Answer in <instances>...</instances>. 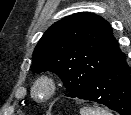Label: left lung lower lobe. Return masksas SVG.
<instances>
[{"mask_svg": "<svg viewBox=\"0 0 131 115\" xmlns=\"http://www.w3.org/2000/svg\"><path fill=\"white\" fill-rule=\"evenodd\" d=\"M130 73L124 56L92 80L77 98L103 104L120 115H131Z\"/></svg>", "mask_w": 131, "mask_h": 115, "instance_id": "left-lung-lower-lobe-1", "label": "left lung lower lobe"}]
</instances>
